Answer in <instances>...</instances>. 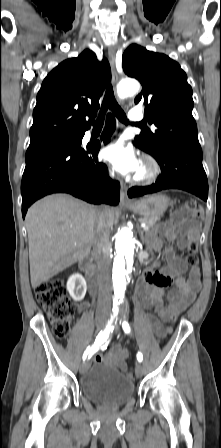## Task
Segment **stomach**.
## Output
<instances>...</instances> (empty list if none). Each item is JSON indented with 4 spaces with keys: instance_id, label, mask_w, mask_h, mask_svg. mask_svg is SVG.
<instances>
[{
    "instance_id": "stomach-1",
    "label": "stomach",
    "mask_w": 221,
    "mask_h": 448,
    "mask_svg": "<svg viewBox=\"0 0 221 448\" xmlns=\"http://www.w3.org/2000/svg\"><path fill=\"white\" fill-rule=\"evenodd\" d=\"M170 205V199L162 194L144 197L127 205L126 208L144 217L160 216Z\"/></svg>"
}]
</instances>
